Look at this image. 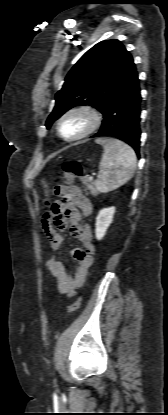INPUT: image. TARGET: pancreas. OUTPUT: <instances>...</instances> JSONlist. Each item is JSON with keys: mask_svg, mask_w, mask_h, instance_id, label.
I'll use <instances>...</instances> for the list:
<instances>
[{"mask_svg": "<svg viewBox=\"0 0 168 415\" xmlns=\"http://www.w3.org/2000/svg\"><path fill=\"white\" fill-rule=\"evenodd\" d=\"M85 182H86V183H91V184H94V182H93L92 180L88 179V178H86V179H85ZM91 193H92L93 195H96V194H97V192H96V190H95V189H91Z\"/></svg>", "mask_w": 168, "mask_h": 415, "instance_id": "cf45deb5", "label": "pancreas"}]
</instances>
